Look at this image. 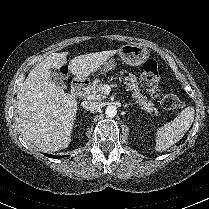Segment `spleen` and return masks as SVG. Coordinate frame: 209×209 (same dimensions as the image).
<instances>
[{"label":"spleen","mask_w":209,"mask_h":209,"mask_svg":"<svg viewBox=\"0 0 209 209\" xmlns=\"http://www.w3.org/2000/svg\"><path fill=\"white\" fill-rule=\"evenodd\" d=\"M195 110L189 106L171 122L160 127L156 133L155 150L163 152L178 142L189 130L194 121Z\"/></svg>","instance_id":"1"}]
</instances>
